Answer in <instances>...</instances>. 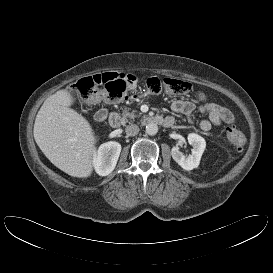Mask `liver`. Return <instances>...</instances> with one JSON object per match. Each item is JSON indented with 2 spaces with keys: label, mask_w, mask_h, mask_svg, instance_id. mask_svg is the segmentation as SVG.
Here are the masks:
<instances>
[{
  "label": "liver",
  "mask_w": 273,
  "mask_h": 273,
  "mask_svg": "<svg viewBox=\"0 0 273 273\" xmlns=\"http://www.w3.org/2000/svg\"><path fill=\"white\" fill-rule=\"evenodd\" d=\"M74 99L58 90L41 106L34 123V139L44 155L70 176L86 178L93 172L95 133L81 114L71 109Z\"/></svg>",
  "instance_id": "1"
}]
</instances>
